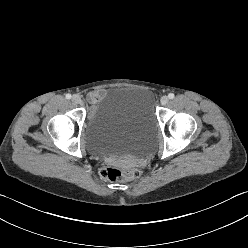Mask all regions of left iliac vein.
<instances>
[{
    "instance_id": "left-iliac-vein-1",
    "label": "left iliac vein",
    "mask_w": 248,
    "mask_h": 248,
    "mask_svg": "<svg viewBox=\"0 0 248 248\" xmlns=\"http://www.w3.org/2000/svg\"><path fill=\"white\" fill-rule=\"evenodd\" d=\"M169 101V98L167 96H162L160 99V102L162 105H166Z\"/></svg>"
}]
</instances>
